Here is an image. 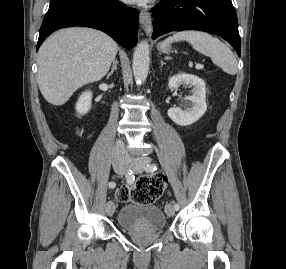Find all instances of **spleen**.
Returning a JSON list of instances; mask_svg holds the SVG:
<instances>
[{"label": "spleen", "mask_w": 286, "mask_h": 269, "mask_svg": "<svg viewBox=\"0 0 286 269\" xmlns=\"http://www.w3.org/2000/svg\"><path fill=\"white\" fill-rule=\"evenodd\" d=\"M187 41L192 47L209 56L224 72L235 75L237 72V60L232 51L219 39L202 31H180L174 33L163 42V47L169 43Z\"/></svg>", "instance_id": "3e777b00"}]
</instances>
